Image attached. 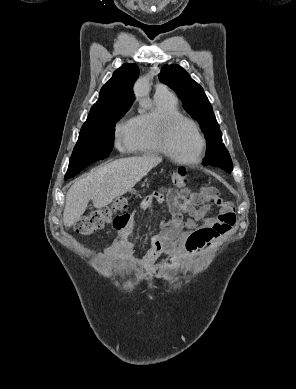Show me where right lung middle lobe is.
<instances>
[{"mask_svg": "<svg viewBox=\"0 0 296 389\" xmlns=\"http://www.w3.org/2000/svg\"><path fill=\"white\" fill-rule=\"evenodd\" d=\"M128 109L129 107H121L100 116L87 118L81 128L67 172L85 168L109 156L113 149L115 124Z\"/></svg>", "mask_w": 296, "mask_h": 389, "instance_id": "obj_1", "label": "right lung middle lobe"}]
</instances>
